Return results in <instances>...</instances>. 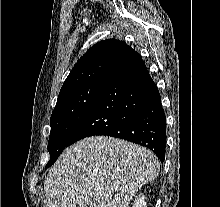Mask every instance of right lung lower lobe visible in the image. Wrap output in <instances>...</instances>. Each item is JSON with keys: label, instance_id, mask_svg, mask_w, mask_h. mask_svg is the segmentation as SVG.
I'll list each match as a JSON object with an SVG mask.
<instances>
[{"label": "right lung lower lobe", "instance_id": "98d812e1", "mask_svg": "<svg viewBox=\"0 0 220 207\" xmlns=\"http://www.w3.org/2000/svg\"><path fill=\"white\" fill-rule=\"evenodd\" d=\"M94 135L140 144L165 158L166 118L158 89L143 60L108 77L69 145Z\"/></svg>", "mask_w": 220, "mask_h": 207}]
</instances>
